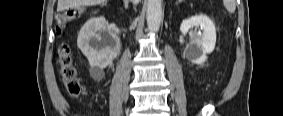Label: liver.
<instances>
[{
	"instance_id": "liver-1",
	"label": "liver",
	"mask_w": 283,
	"mask_h": 116,
	"mask_svg": "<svg viewBox=\"0 0 283 116\" xmlns=\"http://www.w3.org/2000/svg\"><path fill=\"white\" fill-rule=\"evenodd\" d=\"M106 0H58L57 11L62 12L69 8H76L82 5H94Z\"/></svg>"
}]
</instances>
